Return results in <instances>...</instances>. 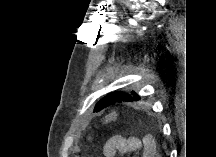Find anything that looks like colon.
I'll return each instance as SVG.
<instances>
[{
    "label": "colon",
    "instance_id": "1",
    "mask_svg": "<svg viewBox=\"0 0 216 157\" xmlns=\"http://www.w3.org/2000/svg\"><path fill=\"white\" fill-rule=\"evenodd\" d=\"M117 117H118L117 112H111L109 115H107L105 118L101 120L100 125H105L112 121H115Z\"/></svg>",
    "mask_w": 216,
    "mask_h": 157
}]
</instances>
